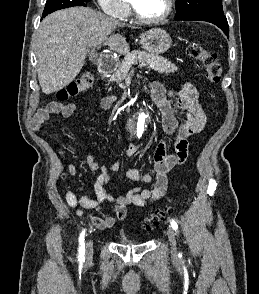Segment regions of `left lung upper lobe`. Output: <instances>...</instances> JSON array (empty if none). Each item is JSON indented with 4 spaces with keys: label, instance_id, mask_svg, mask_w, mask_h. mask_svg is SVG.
Masks as SVG:
<instances>
[{
    "label": "left lung upper lobe",
    "instance_id": "1",
    "mask_svg": "<svg viewBox=\"0 0 259 294\" xmlns=\"http://www.w3.org/2000/svg\"><path fill=\"white\" fill-rule=\"evenodd\" d=\"M176 18L209 13L224 15L222 0H177Z\"/></svg>",
    "mask_w": 259,
    "mask_h": 294
}]
</instances>
